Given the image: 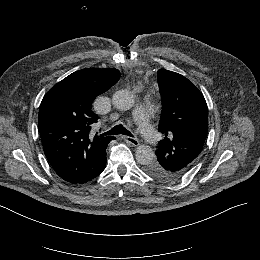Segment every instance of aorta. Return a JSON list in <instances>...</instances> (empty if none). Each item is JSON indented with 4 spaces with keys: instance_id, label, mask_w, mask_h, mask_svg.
I'll list each match as a JSON object with an SVG mask.
<instances>
[{
    "instance_id": "762f6f07",
    "label": "aorta",
    "mask_w": 260,
    "mask_h": 260,
    "mask_svg": "<svg viewBox=\"0 0 260 260\" xmlns=\"http://www.w3.org/2000/svg\"><path fill=\"white\" fill-rule=\"evenodd\" d=\"M114 106L122 111L131 109L135 105V97L129 90H119L113 95ZM136 160L142 165H148L154 160V151L149 145H140L135 151Z\"/></svg>"
}]
</instances>
